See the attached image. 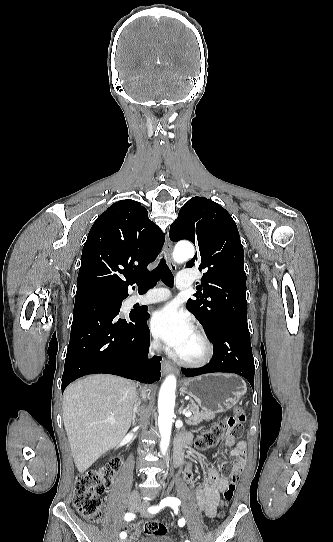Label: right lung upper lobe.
Here are the masks:
<instances>
[{"label": "right lung upper lobe", "instance_id": "right-lung-upper-lobe-1", "mask_svg": "<svg viewBox=\"0 0 333 542\" xmlns=\"http://www.w3.org/2000/svg\"><path fill=\"white\" fill-rule=\"evenodd\" d=\"M164 240L139 202L125 199L114 203L94 222L82 252L85 257L89 250L102 248L111 254V260L99 266L82 261L76 295L127 293L135 278L150 273L147 265L156 259Z\"/></svg>", "mask_w": 333, "mask_h": 542}]
</instances>
